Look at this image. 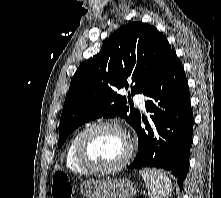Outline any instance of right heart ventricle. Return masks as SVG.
<instances>
[{"label":"right heart ventricle","mask_w":221,"mask_h":198,"mask_svg":"<svg viewBox=\"0 0 221 198\" xmlns=\"http://www.w3.org/2000/svg\"><path fill=\"white\" fill-rule=\"evenodd\" d=\"M82 131L83 130L76 132L72 136V138L69 140L65 148V157H64L65 164L69 170L75 173H87L88 172L77 162L76 156H75L76 141Z\"/></svg>","instance_id":"right-heart-ventricle-1"}]
</instances>
